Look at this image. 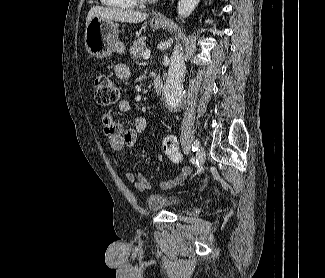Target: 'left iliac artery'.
I'll return each instance as SVG.
<instances>
[{"label": "left iliac artery", "instance_id": "obj_1", "mask_svg": "<svg viewBox=\"0 0 325 278\" xmlns=\"http://www.w3.org/2000/svg\"><path fill=\"white\" fill-rule=\"evenodd\" d=\"M199 148V141L198 140H195L193 143H192V151L195 152L197 151Z\"/></svg>", "mask_w": 325, "mask_h": 278}]
</instances>
